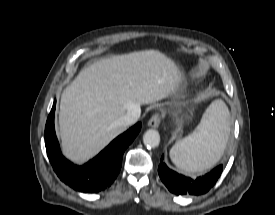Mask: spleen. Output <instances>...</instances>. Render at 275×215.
<instances>
[{
    "mask_svg": "<svg viewBox=\"0 0 275 215\" xmlns=\"http://www.w3.org/2000/svg\"><path fill=\"white\" fill-rule=\"evenodd\" d=\"M229 133V110L222 100H216L206 109L195 131L171 148L170 158L183 171H205L223 155Z\"/></svg>",
    "mask_w": 275,
    "mask_h": 215,
    "instance_id": "obj_1",
    "label": "spleen"
}]
</instances>
